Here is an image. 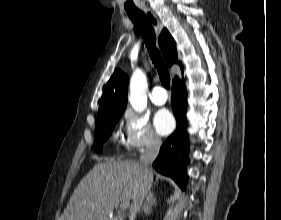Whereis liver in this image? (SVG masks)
<instances>
[{"mask_svg": "<svg viewBox=\"0 0 281 220\" xmlns=\"http://www.w3.org/2000/svg\"><path fill=\"white\" fill-rule=\"evenodd\" d=\"M143 178L144 170L135 161L96 164L74 190L60 220H109L121 201L133 200Z\"/></svg>", "mask_w": 281, "mask_h": 220, "instance_id": "6515ba94", "label": "liver"}]
</instances>
